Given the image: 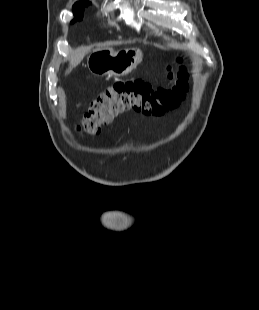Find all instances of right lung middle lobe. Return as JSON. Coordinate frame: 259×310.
Returning <instances> with one entry per match:
<instances>
[{
  "instance_id": "right-lung-middle-lobe-1",
  "label": "right lung middle lobe",
  "mask_w": 259,
  "mask_h": 310,
  "mask_svg": "<svg viewBox=\"0 0 259 310\" xmlns=\"http://www.w3.org/2000/svg\"><path fill=\"white\" fill-rule=\"evenodd\" d=\"M89 4H90V2H87V3L81 4V5L73 8V13H74L75 19L72 20L71 23H74L76 20L82 19V16L84 13V8L87 7Z\"/></svg>"
}]
</instances>
